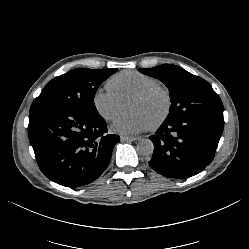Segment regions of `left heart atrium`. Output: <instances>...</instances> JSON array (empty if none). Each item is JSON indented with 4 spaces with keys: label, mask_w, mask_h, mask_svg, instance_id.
Masks as SVG:
<instances>
[{
    "label": "left heart atrium",
    "mask_w": 249,
    "mask_h": 249,
    "mask_svg": "<svg viewBox=\"0 0 249 249\" xmlns=\"http://www.w3.org/2000/svg\"><path fill=\"white\" fill-rule=\"evenodd\" d=\"M149 124L146 119L138 114L118 115L110 125V130L123 135H133L146 131Z\"/></svg>",
    "instance_id": "left-heart-atrium-1"
}]
</instances>
